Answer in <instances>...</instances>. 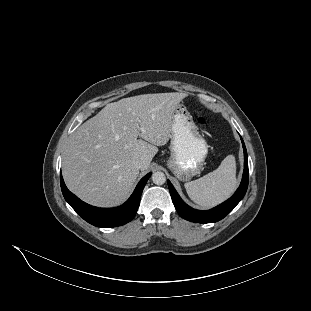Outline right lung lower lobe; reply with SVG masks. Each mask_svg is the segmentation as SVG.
<instances>
[{
  "instance_id": "1",
  "label": "right lung lower lobe",
  "mask_w": 311,
  "mask_h": 311,
  "mask_svg": "<svg viewBox=\"0 0 311 311\" xmlns=\"http://www.w3.org/2000/svg\"><path fill=\"white\" fill-rule=\"evenodd\" d=\"M152 173L145 175L136 186L130 198L116 208H98L86 204L71 193L60 175L61 190L69 205L88 223L97 227H117L130 222L135 216L144 186Z\"/></svg>"
}]
</instances>
